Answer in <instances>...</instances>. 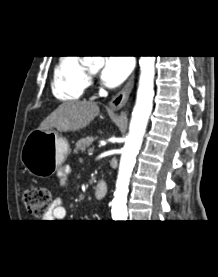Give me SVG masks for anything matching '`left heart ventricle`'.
Returning a JSON list of instances; mask_svg holds the SVG:
<instances>
[{
    "label": "left heart ventricle",
    "instance_id": "left-heart-ventricle-1",
    "mask_svg": "<svg viewBox=\"0 0 218 277\" xmlns=\"http://www.w3.org/2000/svg\"><path fill=\"white\" fill-rule=\"evenodd\" d=\"M90 70L93 71V70H95V69H94V68H91Z\"/></svg>",
    "mask_w": 218,
    "mask_h": 277
}]
</instances>
